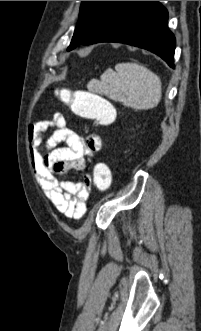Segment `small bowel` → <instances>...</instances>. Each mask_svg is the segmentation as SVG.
Wrapping results in <instances>:
<instances>
[{"mask_svg":"<svg viewBox=\"0 0 201 331\" xmlns=\"http://www.w3.org/2000/svg\"><path fill=\"white\" fill-rule=\"evenodd\" d=\"M54 131L43 146V135ZM64 142L65 148L49 150L52 145ZM29 151L36 178L47 199L67 218L80 219L86 212L92 179L83 175L78 182L63 180L59 176L70 170L83 171L87 160L101 149V139L90 134L86 139L69 128L62 113L36 121L28 131Z\"/></svg>","mask_w":201,"mask_h":331,"instance_id":"small-bowel-1","label":"small bowel"}]
</instances>
